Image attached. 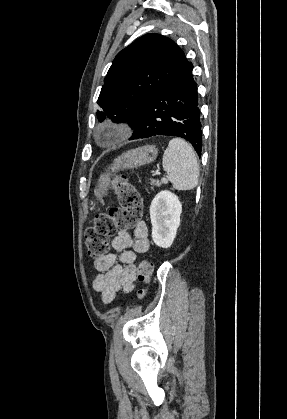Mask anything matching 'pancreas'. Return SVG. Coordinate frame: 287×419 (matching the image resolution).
I'll use <instances>...</instances> for the list:
<instances>
[{"label": "pancreas", "instance_id": "pancreas-1", "mask_svg": "<svg viewBox=\"0 0 287 419\" xmlns=\"http://www.w3.org/2000/svg\"><path fill=\"white\" fill-rule=\"evenodd\" d=\"M151 185H152V189H153V187L154 186H157V187H160L161 186V184H162V182H160V181H158V180H151V183H150Z\"/></svg>", "mask_w": 287, "mask_h": 419}]
</instances>
